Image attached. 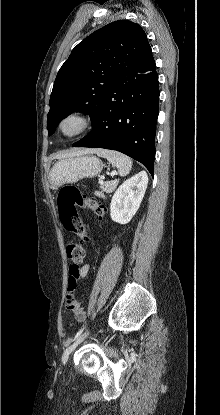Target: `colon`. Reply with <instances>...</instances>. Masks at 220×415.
Returning <instances> with one entry per match:
<instances>
[{"label": "colon", "mask_w": 220, "mask_h": 415, "mask_svg": "<svg viewBox=\"0 0 220 415\" xmlns=\"http://www.w3.org/2000/svg\"><path fill=\"white\" fill-rule=\"evenodd\" d=\"M84 196L81 191L75 186H67L60 190L57 199L59 218L62 225L69 231L86 239V231L84 225L80 221L76 206L81 204ZM96 213L101 216L103 208L96 207ZM67 257L72 261L70 266V275L66 296V306L68 308L75 307L77 304V292L79 288L80 278V264L83 262L86 249L83 244L69 243L66 246Z\"/></svg>", "instance_id": "obj_1"}]
</instances>
